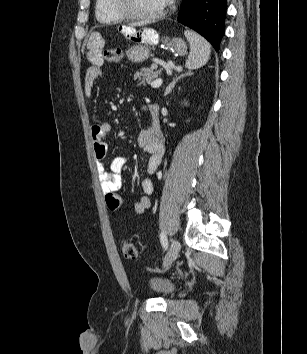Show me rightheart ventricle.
I'll use <instances>...</instances> for the list:
<instances>
[{"label": "right heart ventricle", "mask_w": 307, "mask_h": 354, "mask_svg": "<svg viewBox=\"0 0 307 354\" xmlns=\"http://www.w3.org/2000/svg\"><path fill=\"white\" fill-rule=\"evenodd\" d=\"M95 17L103 24H114L124 20L113 8L112 0L95 1Z\"/></svg>", "instance_id": "1"}]
</instances>
